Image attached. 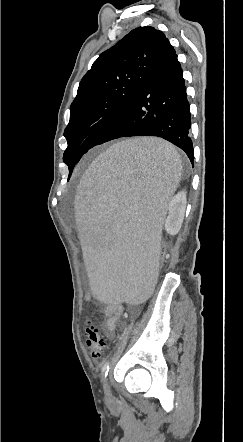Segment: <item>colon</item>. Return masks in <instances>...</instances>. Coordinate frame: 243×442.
Here are the masks:
<instances>
[{"label": "colon", "mask_w": 243, "mask_h": 442, "mask_svg": "<svg viewBox=\"0 0 243 442\" xmlns=\"http://www.w3.org/2000/svg\"><path fill=\"white\" fill-rule=\"evenodd\" d=\"M162 241L168 238L166 233L161 235ZM170 248L167 245L162 246L161 251H159L158 256L161 259L166 258L167 253H169ZM86 346L90 351L91 356L94 359H100L107 353V345L102 337L101 330L98 324L90 322L85 329Z\"/></svg>", "instance_id": "obj_1"}]
</instances>
